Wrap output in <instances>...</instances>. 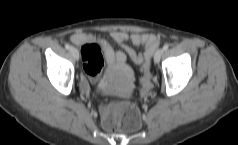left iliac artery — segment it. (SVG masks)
Segmentation results:
<instances>
[{"label": "left iliac artery", "instance_id": "left-iliac-artery-1", "mask_svg": "<svg viewBox=\"0 0 238 145\" xmlns=\"http://www.w3.org/2000/svg\"><path fill=\"white\" fill-rule=\"evenodd\" d=\"M168 48H169V45H168L167 43L164 44V46H163V50L166 51V50H168Z\"/></svg>", "mask_w": 238, "mask_h": 145}]
</instances>
